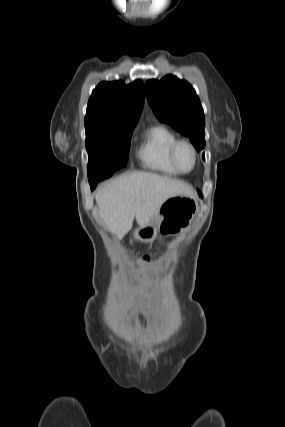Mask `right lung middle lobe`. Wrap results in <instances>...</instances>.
<instances>
[{
  "instance_id": "dd1d6c3e",
  "label": "right lung middle lobe",
  "mask_w": 285,
  "mask_h": 427,
  "mask_svg": "<svg viewBox=\"0 0 285 427\" xmlns=\"http://www.w3.org/2000/svg\"><path fill=\"white\" fill-rule=\"evenodd\" d=\"M135 125H85L89 182H99L126 166Z\"/></svg>"
}]
</instances>
